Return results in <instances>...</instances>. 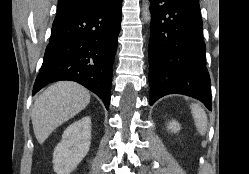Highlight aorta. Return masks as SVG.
<instances>
[{
  "instance_id": "762f6f07",
  "label": "aorta",
  "mask_w": 249,
  "mask_h": 174,
  "mask_svg": "<svg viewBox=\"0 0 249 174\" xmlns=\"http://www.w3.org/2000/svg\"><path fill=\"white\" fill-rule=\"evenodd\" d=\"M149 7H150V4L148 0H146L145 4L143 5V12H142L143 20L146 23L150 22L151 20V14H150Z\"/></svg>"
}]
</instances>
